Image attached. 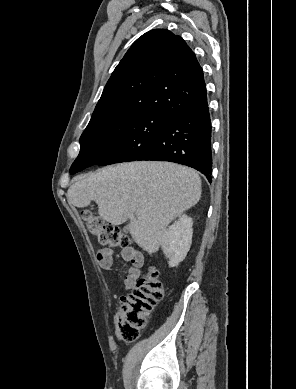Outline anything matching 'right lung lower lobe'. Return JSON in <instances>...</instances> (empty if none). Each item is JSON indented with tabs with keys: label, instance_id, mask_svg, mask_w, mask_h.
Wrapping results in <instances>:
<instances>
[{
	"label": "right lung lower lobe",
	"instance_id": "obj_1",
	"mask_svg": "<svg viewBox=\"0 0 296 389\" xmlns=\"http://www.w3.org/2000/svg\"><path fill=\"white\" fill-rule=\"evenodd\" d=\"M211 119L208 102L186 109L171 118L137 159L170 161L192 167L212 181ZM89 167L86 164L70 170L71 174Z\"/></svg>",
	"mask_w": 296,
	"mask_h": 389
}]
</instances>
